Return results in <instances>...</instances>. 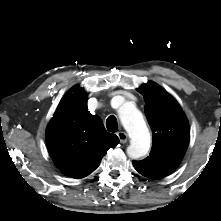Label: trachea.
Returning <instances> with one entry per match:
<instances>
[{
    "mask_svg": "<svg viewBox=\"0 0 221 221\" xmlns=\"http://www.w3.org/2000/svg\"><path fill=\"white\" fill-rule=\"evenodd\" d=\"M106 127L109 132H116L118 130V123L115 116L111 115L107 118Z\"/></svg>",
    "mask_w": 221,
    "mask_h": 221,
    "instance_id": "trachea-1",
    "label": "trachea"
}]
</instances>
